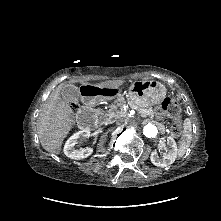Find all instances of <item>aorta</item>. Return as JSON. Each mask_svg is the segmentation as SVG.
I'll return each instance as SVG.
<instances>
[{"label":"aorta","mask_w":221,"mask_h":221,"mask_svg":"<svg viewBox=\"0 0 221 221\" xmlns=\"http://www.w3.org/2000/svg\"><path fill=\"white\" fill-rule=\"evenodd\" d=\"M143 133L148 138H153L157 135L158 129L153 124H147L144 126Z\"/></svg>","instance_id":"762f6f07"}]
</instances>
